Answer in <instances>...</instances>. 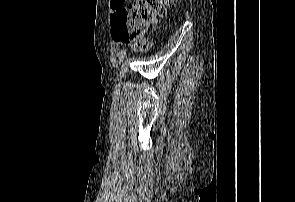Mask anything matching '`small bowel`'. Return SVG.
Listing matches in <instances>:
<instances>
[{
  "mask_svg": "<svg viewBox=\"0 0 295 202\" xmlns=\"http://www.w3.org/2000/svg\"><path fill=\"white\" fill-rule=\"evenodd\" d=\"M125 5L126 0H110V7L114 18L120 11L125 8Z\"/></svg>",
  "mask_w": 295,
  "mask_h": 202,
  "instance_id": "small-bowel-1",
  "label": "small bowel"
}]
</instances>
